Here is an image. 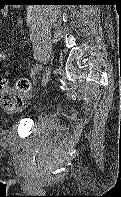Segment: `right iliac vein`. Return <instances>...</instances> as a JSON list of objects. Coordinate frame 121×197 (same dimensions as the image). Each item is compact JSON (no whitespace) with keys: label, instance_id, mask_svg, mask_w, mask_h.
<instances>
[{"label":"right iliac vein","instance_id":"63e3f726","mask_svg":"<svg viewBox=\"0 0 121 197\" xmlns=\"http://www.w3.org/2000/svg\"><path fill=\"white\" fill-rule=\"evenodd\" d=\"M50 77H51V69H50V67H47L45 70L43 79H42L41 86H45L48 83V81L50 80Z\"/></svg>","mask_w":121,"mask_h":197}]
</instances>
